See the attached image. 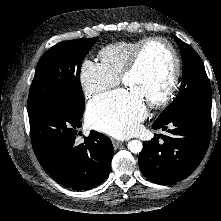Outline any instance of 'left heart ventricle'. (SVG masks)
<instances>
[{
    "instance_id": "b2bd125f",
    "label": "left heart ventricle",
    "mask_w": 221,
    "mask_h": 221,
    "mask_svg": "<svg viewBox=\"0 0 221 221\" xmlns=\"http://www.w3.org/2000/svg\"><path fill=\"white\" fill-rule=\"evenodd\" d=\"M172 69L167 48L159 43L142 53L137 69L125 80V87L134 91L146 104L157 99L166 89Z\"/></svg>"
}]
</instances>
